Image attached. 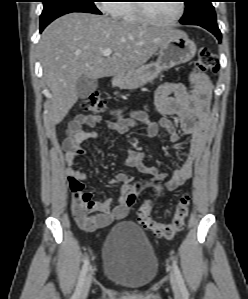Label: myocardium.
<instances>
[{
  "label": "myocardium",
  "instance_id": "1",
  "mask_svg": "<svg viewBox=\"0 0 248 299\" xmlns=\"http://www.w3.org/2000/svg\"><path fill=\"white\" fill-rule=\"evenodd\" d=\"M178 13L175 17L168 19V20H160L156 17H154L148 10L149 3H139L136 5L137 11L141 18L150 24L154 25H160V26H166V25H172L176 22H178L184 15L185 12V3L183 0H178Z\"/></svg>",
  "mask_w": 248,
  "mask_h": 299
}]
</instances>
